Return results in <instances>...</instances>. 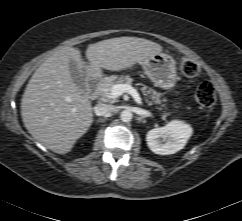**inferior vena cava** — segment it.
Masks as SVG:
<instances>
[{"label":"inferior vena cava","mask_w":242,"mask_h":221,"mask_svg":"<svg viewBox=\"0 0 242 221\" xmlns=\"http://www.w3.org/2000/svg\"><path fill=\"white\" fill-rule=\"evenodd\" d=\"M115 110L113 105H109V104H97L94 107V112L97 116H104V115H108L110 113H112Z\"/></svg>","instance_id":"inferior-vena-cava-1"}]
</instances>
